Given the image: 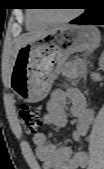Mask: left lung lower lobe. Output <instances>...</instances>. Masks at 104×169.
<instances>
[{"label":"left lung lower lobe","instance_id":"obj_1","mask_svg":"<svg viewBox=\"0 0 104 169\" xmlns=\"http://www.w3.org/2000/svg\"><path fill=\"white\" fill-rule=\"evenodd\" d=\"M89 8L87 11L79 18L71 21V24H96L104 25V8L102 3L98 0H94L92 3L88 4Z\"/></svg>","mask_w":104,"mask_h":169}]
</instances>
